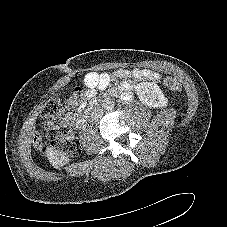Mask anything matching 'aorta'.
I'll return each instance as SVG.
<instances>
[{
	"label": "aorta",
	"instance_id": "aorta-1",
	"mask_svg": "<svg viewBox=\"0 0 227 227\" xmlns=\"http://www.w3.org/2000/svg\"><path fill=\"white\" fill-rule=\"evenodd\" d=\"M115 106V103L111 99H106L102 103V108L107 111H111Z\"/></svg>",
	"mask_w": 227,
	"mask_h": 227
}]
</instances>
